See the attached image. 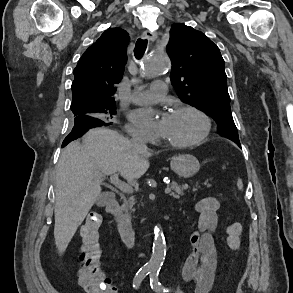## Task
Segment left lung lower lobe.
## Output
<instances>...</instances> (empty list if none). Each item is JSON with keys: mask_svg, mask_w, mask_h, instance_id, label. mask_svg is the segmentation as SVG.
I'll list each match as a JSON object with an SVG mask.
<instances>
[{"mask_svg": "<svg viewBox=\"0 0 293 293\" xmlns=\"http://www.w3.org/2000/svg\"><path fill=\"white\" fill-rule=\"evenodd\" d=\"M239 147H241V145H240V143L239 144H237Z\"/></svg>", "mask_w": 293, "mask_h": 293, "instance_id": "obj_1", "label": "left lung lower lobe"}]
</instances>
